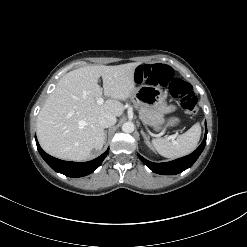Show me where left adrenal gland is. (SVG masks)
<instances>
[{
    "label": "left adrenal gland",
    "mask_w": 247,
    "mask_h": 247,
    "mask_svg": "<svg viewBox=\"0 0 247 247\" xmlns=\"http://www.w3.org/2000/svg\"><path fill=\"white\" fill-rule=\"evenodd\" d=\"M141 134L144 138V141L150 146V142H149V139L148 137L146 136L145 132L143 131V129L141 130Z\"/></svg>",
    "instance_id": "obj_1"
}]
</instances>
